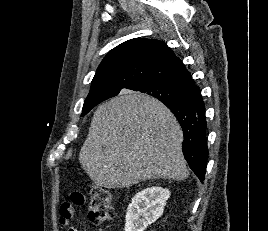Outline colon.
I'll use <instances>...</instances> for the list:
<instances>
[{"mask_svg": "<svg viewBox=\"0 0 268 231\" xmlns=\"http://www.w3.org/2000/svg\"><path fill=\"white\" fill-rule=\"evenodd\" d=\"M89 218L97 225L105 224L113 215L111 194L106 189L92 185L89 190ZM82 200V197H79Z\"/></svg>", "mask_w": 268, "mask_h": 231, "instance_id": "5ec220e1", "label": "colon"}]
</instances>
